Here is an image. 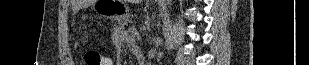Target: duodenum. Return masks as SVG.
<instances>
[{
  "label": "duodenum",
  "instance_id": "duodenum-1",
  "mask_svg": "<svg viewBox=\"0 0 309 65\" xmlns=\"http://www.w3.org/2000/svg\"><path fill=\"white\" fill-rule=\"evenodd\" d=\"M134 52H135L136 58L138 60V63L140 65H144L145 64V56H144L142 49L137 48Z\"/></svg>",
  "mask_w": 309,
  "mask_h": 65
}]
</instances>
